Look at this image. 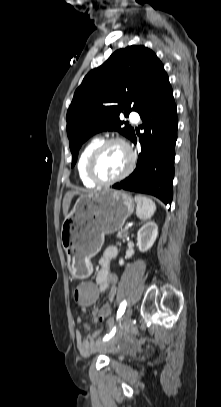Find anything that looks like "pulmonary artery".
<instances>
[{
  "instance_id": "pulmonary-artery-1",
  "label": "pulmonary artery",
  "mask_w": 221,
  "mask_h": 407,
  "mask_svg": "<svg viewBox=\"0 0 221 407\" xmlns=\"http://www.w3.org/2000/svg\"><path fill=\"white\" fill-rule=\"evenodd\" d=\"M130 118L133 122H138L140 119L138 113H136V112H132L130 115Z\"/></svg>"
}]
</instances>
